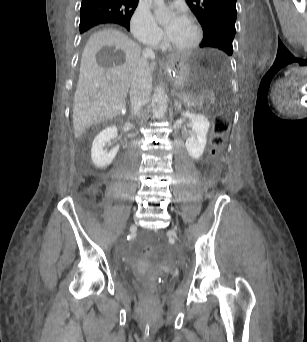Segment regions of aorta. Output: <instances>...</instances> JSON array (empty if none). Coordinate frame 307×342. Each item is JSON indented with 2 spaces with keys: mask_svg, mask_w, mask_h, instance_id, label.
Segmentation results:
<instances>
[{
  "mask_svg": "<svg viewBox=\"0 0 307 342\" xmlns=\"http://www.w3.org/2000/svg\"><path fill=\"white\" fill-rule=\"evenodd\" d=\"M155 6H157L156 14H164L162 18V24H168L171 20V16L165 14L164 0H153ZM152 108L153 116L155 118H164L168 108V96L167 92L163 88H157L152 96Z\"/></svg>",
  "mask_w": 307,
  "mask_h": 342,
  "instance_id": "762f6f07",
  "label": "aorta"
}]
</instances>
